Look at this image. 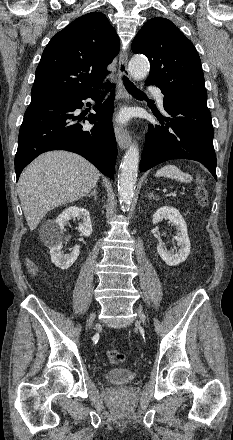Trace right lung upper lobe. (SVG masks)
Wrapping results in <instances>:
<instances>
[{"instance_id": "right-lung-upper-lobe-1", "label": "right lung upper lobe", "mask_w": 233, "mask_h": 440, "mask_svg": "<svg viewBox=\"0 0 233 440\" xmlns=\"http://www.w3.org/2000/svg\"><path fill=\"white\" fill-rule=\"evenodd\" d=\"M118 52L119 37L103 13L77 18L43 51L31 101L98 88Z\"/></svg>"}]
</instances>
